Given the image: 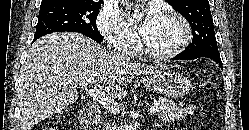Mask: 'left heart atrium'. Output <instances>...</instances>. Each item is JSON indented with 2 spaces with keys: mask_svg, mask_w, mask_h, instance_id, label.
<instances>
[{
  "mask_svg": "<svg viewBox=\"0 0 249 130\" xmlns=\"http://www.w3.org/2000/svg\"><path fill=\"white\" fill-rule=\"evenodd\" d=\"M159 15L160 14L158 13V11L154 8H150L147 11L145 18L140 25V34L142 37L146 35L147 31L154 24V22L157 20Z\"/></svg>",
  "mask_w": 249,
  "mask_h": 130,
  "instance_id": "obj_1",
  "label": "left heart atrium"
}]
</instances>
